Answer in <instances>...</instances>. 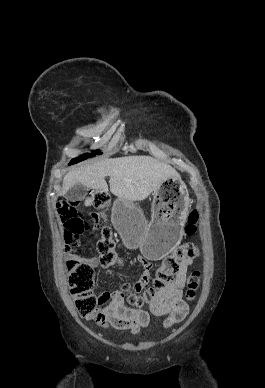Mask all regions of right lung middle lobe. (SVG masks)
Returning <instances> with one entry per match:
<instances>
[{
	"instance_id": "dd1d6c3e",
	"label": "right lung middle lobe",
	"mask_w": 265,
	"mask_h": 388,
	"mask_svg": "<svg viewBox=\"0 0 265 388\" xmlns=\"http://www.w3.org/2000/svg\"><path fill=\"white\" fill-rule=\"evenodd\" d=\"M95 154H101V152L98 151V150H95V151H92L91 154H88V153H87V154H83V155H81V156H79V157H77V158H74V159L70 162V164L78 163V162L83 161V160H85V159H87V158H89V157L95 156Z\"/></svg>"
}]
</instances>
